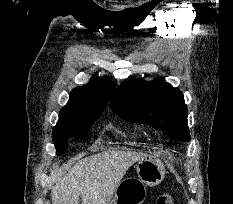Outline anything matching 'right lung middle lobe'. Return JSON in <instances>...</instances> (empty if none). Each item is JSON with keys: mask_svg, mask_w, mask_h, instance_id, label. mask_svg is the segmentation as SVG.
<instances>
[{"mask_svg": "<svg viewBox=\"0 0 233 204\" xmlns=\"http://www.w3.org/2000/svg\"><path fill=\"white\" fill-rule=\"evenodd\" d=\"M100 114L91 115L86 118L78 119L68 124L62 125L58 129L53 130L52 140L56 148V154L60 155L67 149L68 137L85 136L91 124L99 117Z\"/></svg>", "mask_w": 233, "mask_h": 204, "instance_id": "right-lung-middle-lobe-1", "label": "right lung middle lobe"}]
</instances>
